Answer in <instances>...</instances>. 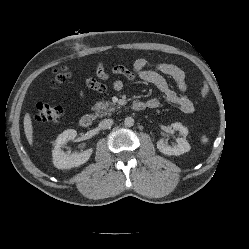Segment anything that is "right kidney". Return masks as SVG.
Instances as JSON below:
<instances>
[{
  "mask_svg": "<svg viewBox=\"0 0 249 249\" xmlns=\"http://www.w3.org/2000/svg\"><path fill=\"white\" fill-rule=\"evenodd\" d=\"M76 136H77L76 130L68 129L63 133H61L55 140V146L52 151V156H53V164L56 168L70 169L73 167H78L89 160L93 151L92 148L82 151L81 153L67 154L63 152L62 150L63 145L67 141L74 140Z\"/></svg>",
  "mask_w": 249,
  "mask_h": 249,
  "instance_id": "obj_1",
  "label": "right kidney"
}]
</instances>
